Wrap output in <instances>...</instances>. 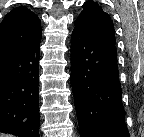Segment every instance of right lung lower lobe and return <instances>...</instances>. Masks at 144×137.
Returning a JSON list of instances; mask_svg holds the SVG:
<instances>
[{
    "mask_svg": "<svg viewBox=\"0 0 144 137\" xmlns=\"http://www.w3.org/2000/svg\"><path fill=\"white\" fill-rule=\"evenodd\" d=\"M40 42L0 57V132L39 137Z\"/></svg>",
    "mask_w": 144,
    "mask_h": 137,
    "instance_id": "98d812e1",
    "label": "right lung lower lobe"
}]
</instances>
